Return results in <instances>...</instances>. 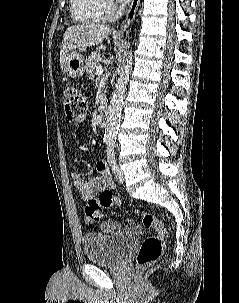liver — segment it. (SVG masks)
Segmentation results:
<instances>
[{
	"mask_svg": "<svg viewBox=\"0 0 239 303\" xmlns=\"http://www.w3.org/2000/svg\"><path fill=\"white\" fill-rule=\"evenodd\" d=\"M111 32L112 30L108 25L94 22L67 28L63 35L60 50L61 64L68 53L76 50V48L101 44Z\"/></svg>",
	"mask_w": 239,
	"mask_h": 303,
	"instance_id": "liver-1",
	"label": "liver"
}]
</instances>
